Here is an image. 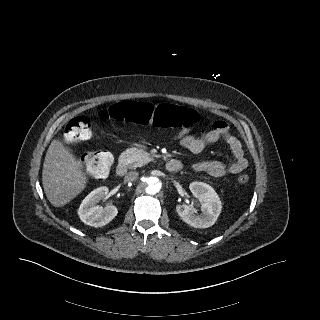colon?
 Returning <instances> with one entry per match:
<instances>
[{
    "instance_id": "obj_1",
    "label": "colon",
    "mask_w": 320,
    "mask_h": 320,
    "mask_svg": "<svg viewBox=\"0 0 320 320\" xmlns=\"http://www.w3.org/2000/svg\"><path fill=\"white\" fill-rule=\"evenodd\" d=\"M99 117L103 120L134 122L159 128H189L200 121L199 114L191 109L170 103L155 106L133 100H125L102 109ZM64 136L69 142L88 141L92 137L91 120L86 116L70 119ZM82 163L90 175L105 178L110 172L113 156L105 149L89 152L82 157ZM237 180L240 184H245L249 181V176L241 174Z\"/></svg>"
}]
</instances>
